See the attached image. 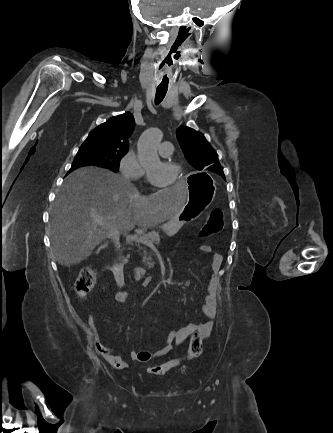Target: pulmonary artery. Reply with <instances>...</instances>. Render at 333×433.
<instances>
[{
    "mask_svg": "<svg viewBox=\"0 0 333 433\" xmlns=\"http://www.w3.org/2000/svg\"><path fill=\"white\" fill-rule=\"evenodd\" d=\"M173 152V145L170 142H162L159 145V153L164 156V157H168L172 154Z\"/></svg>",
    "mask_w": 333,
    "mask_h": 433,
    "instance_id": "1",
    "label": "pulmonary artery"
}]
</instances>
